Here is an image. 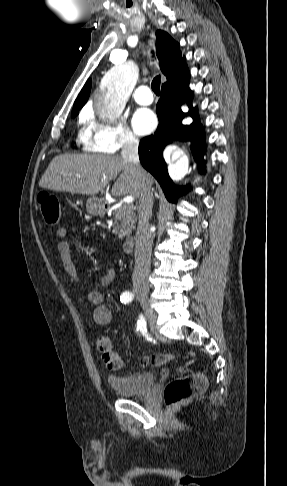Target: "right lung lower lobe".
<instances>
[{
  "label": "right lung lower lobe",
  "instance_id": "right-lung-lower-lobe-1",
  "mask_svg": "<svg viewBox=\"0 0 287 486\" xmlns=\"http://www.w3.org/2000/svg\"><path fill=\"white\" fill-rule=\"evenodd\" d=\"M191 97L192 91L189 89L188 78L175 85L162 87L156 107L159 126L154 135L145 137L139 145L142 166L157 179L166 198L172 202H176L179 195L185 193L188 188L176 187L168 175L167 165L162 158V151L167 144L174 140L193 141L192 153L199 163V168L204 171V133L201 124L198 123L196 109L189 105L188 114L193 118L190 126L181 123L187 113L182 112L180 106Z\"/></svg>",
  "mask_w": 287,
  "mask_h": 486
}]
</instances>
